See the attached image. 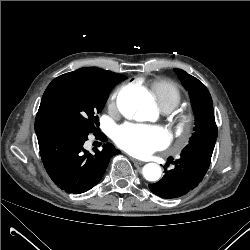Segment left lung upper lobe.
<instances>
[{
    "mask_svg": "<svg viewBox=\"0 0 250 250\" xmlns=\"http://www.w3.org/2000/svg\"><path fill=\"white\" fill-rule=\"evenodd\" d=\"M183 86L189 91L192 109L195 115V132L190 142L207 138H216L218 134L215 123L213 102L204 84L181 69H175Z\"/></svg>",
    "mask_w": 250,
    "mask_h": 250,
    "instance_id": "obj_1",
    "label": "left lung upper lobe"
}]
</instances>
